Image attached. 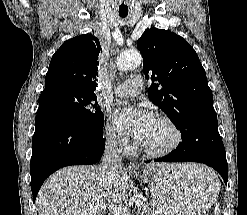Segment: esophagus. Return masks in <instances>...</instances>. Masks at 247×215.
<instances>
[{"label":"esophagus","mask_w":247,"mask_h":215,"mask_svg":"<svg viewBox=\"0 0 247 215\" xmlns=\"http://www.w3.org/2000/svg\"><path fill=\"white\" fill-rule=\"evenodd\" d=\"M130 171H137L138 170V165L135 163H130L128 166Z\"/></svg>","instance_id":"esophagus-1"}]
</instances>
